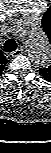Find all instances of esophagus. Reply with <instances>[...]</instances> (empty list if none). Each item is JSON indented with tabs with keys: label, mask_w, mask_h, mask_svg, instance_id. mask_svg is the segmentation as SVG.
<instances>
[{
	"label": "esophagus",
	"mask_w": 51,
	"mask_h": 153,
	"mask_svg": "<svg viewBox=\"0 0 51 153\" xmlns=\"http://www.w3.org/2000/svg\"><path fill=\"white\" fill-rule=\"evenodd\" d=\"M23 53V50L22 49H17L15 50L14 52H12V56L15 57L17 55H21Z\"/></svg>",
	"instance_id": "1"
}]
</instances>
